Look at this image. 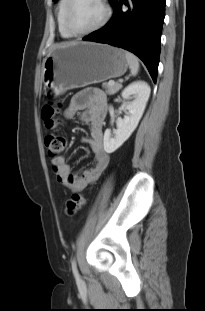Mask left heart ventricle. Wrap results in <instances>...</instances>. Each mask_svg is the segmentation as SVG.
Here are the masks:
<instances>
[{
  "instance_id": "left-heart-ventricle-1",
  "label": "left heart ventricle",
  "mask_w": 205,
  "mask_h": 311,
  "mask_svg": "<svg viewBox=\"0 0 205 311\" xmlns=\"http://www.w3.org/2000/svg\"><path fill=\"white\" fill-rule=\"evenodd\" d=\"M103 16L104 9L98 0H75L70 22L75 30L84 31L97 25Z\"/></svg>"
}]
</instances>
